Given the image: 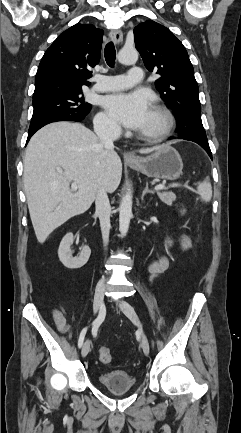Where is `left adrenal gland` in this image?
Returning <instances> with one entry per match:
<instances>
[{"instance_id": "left-adrenal-gland-1", "label": "left adrenal gland", "mask_w": 241, "mask_h": 433, "mask_svg": "<svg viewBox=\"0 0 241 433\" xmlns=\"http://www.w3.org/2000/svg\"><path fill=\"white\" fill-rule=\"evenodd\" d=\"M154 193V191L153 190H150L149 188H148V182L146 183V187H145V189H144V191H143V193H142V196H141V200L143 201L144 200V196L146 195V194H153Z\"/></svg>"}]
</instances>
